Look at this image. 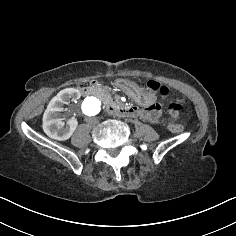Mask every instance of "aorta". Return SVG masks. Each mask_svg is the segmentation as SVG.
<instances>
[{
	"mask_svg": "<svg viewBox=\"0 0 236 236\" xmlns=\"http://www.w3.org/2000/svg\"><path fill=\"white\" fill-rule=\"evenodd\" d=\"M101 104V100L98 97H86L81 104V112L86 119L95 117L101 112Z\"/></svg>",
	"mask_w": 236,
	"mask_h": 236,
	"instance_id": "obj_1",
	"label": "aorta"
}]
</instances>
